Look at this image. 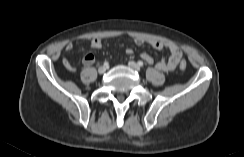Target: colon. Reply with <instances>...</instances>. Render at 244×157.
I'll return each mask as SVG.
<instances>
[{
  "instance_id": "1",
  "label": "colon",
  "mask_w": 244,
  "mask_h": 157,
  "mask_svg": "<svg viewBox=\"0 0 244 157\" xmlns=\"http://www.w3.org/2000/svg\"><path fill=\"white\" fill-rule=\"evenodd\" d=\"M186 66H187L186 61H185V60H182V61L180 62V65H179L180 69L184 70V69L186 68ZM70 69H71V70H74L75 67H74L73 65H71V66H70Z\"/></svg>"
}]
</instances>
